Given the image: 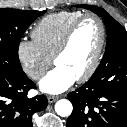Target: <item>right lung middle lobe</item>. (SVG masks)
I'll return each instance as SVG.
<instances>
[{"label":"right lung middle lobe","mask_w":127,"mask_h":127,"mask_svg":"<svg viewBox=\"0 0 127 127\" xmlns=\"http://www.w3.org/2000/svg\"><path fill=\"white\" fill-rule=\"evenodd\" d=\"M45 11L0 9V64L23 72L18 57L21 37L29 25Z\"/></svg>","instance_id":"obj_1"}]
</instances>
